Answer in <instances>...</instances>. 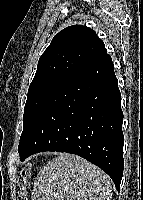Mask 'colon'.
Listing matches in <instances>:
<instances>
[{"mask_svg":"<svg viewBox=\"0 0 143 200\" xmlns=\"http://www.w3.org/2000/svg\"><path fill=\"white\" fill-rule=\"evenodd\" d=\"M30 169H23L18 180V198L17 200H27V189L29 186Z\"/></svg>","mask_w":143,"mask_h":200,"instance_id":"obj_1","label":"colon"}]
</instances>
